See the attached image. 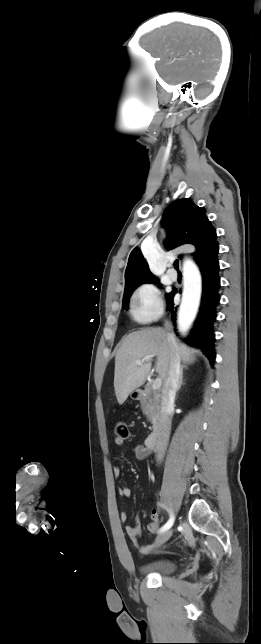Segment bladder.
<instances>
[{"instance_id": "31cf9c89", "label": "bladder", "mask_w": 261, "mask_h": 644, "mask_svg": "<svg viewBox=\"0 0 261 644\" xmlns=\"http://www.w3.org/2000/svg\"><path fill=\"white\" fill-rule=\"evenodd\" d=\"M174 569L175 563L170 559H158L140 567V571L145 574H168L174 571Z\"/></svg>"}]
</instances>
